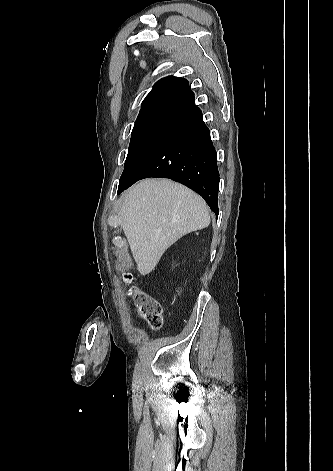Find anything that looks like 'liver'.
<instances>
[{"label":"liver","mask_w":333,"mask_h":471,"mask_svg":"<svg viewBox=\"0 0 333 471\" xmlns=\"http://www.w3.org/2000/svg\"><path fill=\"white\" fill-rule=\"evenodd\" d=\"M122 228L141 275L184 235L206 228L208 206L195 192L167 179H145L122 197Z\"/></svg>","instance_id":"liver-1"}]
</instances>
